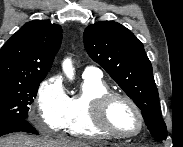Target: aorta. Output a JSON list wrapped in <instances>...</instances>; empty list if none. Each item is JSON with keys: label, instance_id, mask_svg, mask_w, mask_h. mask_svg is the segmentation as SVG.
<instances>
[{"label": "aorta", "instance_id": "1", "mask_svg": "<svg viewBox=\"0 0 183 147\" xmlns=\"http://www.w3.org/2000/svg\"><path fill=\"white\" fill-rule=\"evenodd\" d=\"M62 67H63V71L66 74L67 78L69 80H73L74 79V68L72 66L71 59H69V58L65 59Z\"/></svg>", "mask_w": 183, "mask_h": 147}]
</instances>
